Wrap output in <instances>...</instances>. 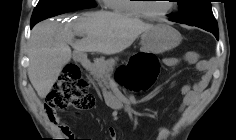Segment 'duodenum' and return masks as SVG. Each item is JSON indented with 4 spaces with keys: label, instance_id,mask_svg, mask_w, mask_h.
<instances>
[{
    "label": "duodenum",
    "instance_id": "obj_1",
    "mask_svg": "<svg viewBox=\"0 0 236 140\" xmlns=\"http://www.w3.org/2000/svg\"><path fill=\"white\" fill-rule=\"evenodd\" d=\"M77 58L84 65L86 70H90L91 64L86 59H84V57L81 54H78Z\"/></svg>",
    "mask_w": 236,
    "mask_h": 140
}]
</instances>
